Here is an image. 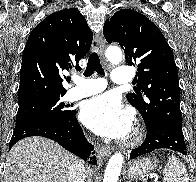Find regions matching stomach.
I'll return each instance as SVG.
<instances>
[{
	"instance_id": "0dacf381",
	"label": "stomach",
	"mask_w": 196,
	"mask_h": 182,
	"mask_svg": "<svg viewBox=\"0 0 196 182\" xmlns=\"http://www.w3.org/2000/svg\"><path fill=\"white\" fill-rule=\"evenodd\" d=\"M156 161L150 158H143L134 161L127 170V177L131 180H137L144 177L146 173L154 169Z\"/></svg>"
}]
</instances>
